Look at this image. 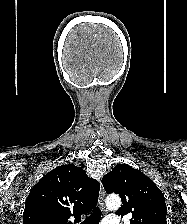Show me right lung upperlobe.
I'll return each mask as SVG.
<instances>
[{"instance_id":"1","label":"right lung upper lobe","mask_w":187,"mask_h":224,"mask_svg":"<svg viewBox=\"0 0 187 224\" xmlns=\"http://www.w3.org/2000/svg\"><path fill=\"white\" fill-rule=\"evenodd\" d=\"M100 185L73 164L48 172L30 191L23 213V224H72L80 222L97 204Z\"/></svg>"}]
</instances>
